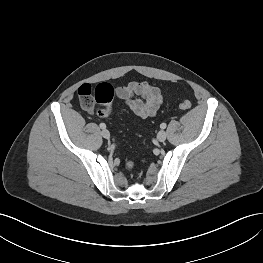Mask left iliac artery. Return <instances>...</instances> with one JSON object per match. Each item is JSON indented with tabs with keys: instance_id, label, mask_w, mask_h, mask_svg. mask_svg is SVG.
<instances>
[{
	"instance_id": "1",
	"label": "left iliac artery",
	"mask_w": 263,
	"mask_h": 263,
	"mask_svg": "<svg viewBox=\"0 0 263 263\" xmlns=\"http://www.w3.org/2000/svg\"><path fill=\"white\" fill-rule=\"evenodd\" d=\"M160 128H161V129H165V128H166V123H162V124L160 125Z\"/></svg>"
}]
</instances>
